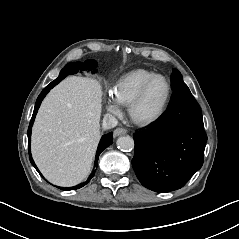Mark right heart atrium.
Masks as SVG:
<instances>
[{
	"label": "right heart atrium",
	"instance_id": "d8ad5b80",
	"mask_svg": "<svg viewBox=\"0 0 239 239\" xmlns=\"http://www.w3.org/2000/svg\"><path fill=\"white\" fill-rule=\"evenodd\" d=\"M106 109L110 113L118 114L120 112V105L114 99H108L106 102Z\"/></svg>",
	"mask_w": 239,
	"mask_h": 239
}]
</instances>
